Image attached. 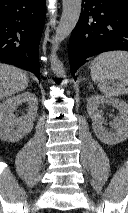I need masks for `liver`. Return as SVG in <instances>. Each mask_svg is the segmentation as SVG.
<instances>
[{
    "label": "liver",
    "instance_id": "1",
    "mask_svg": "<svg viewBox=\"0 0 128 213\" xmlns=\"http://www.w3.org/2000/svg\"><path fill=\"white\" fill-rule=\"evenodd\" d=\"M27 86L28 77L25 71L0 63V100L23 91Z\"/></svg>",
    "mask_w": 128,
    "mask_h": 213
}]
</instances>
